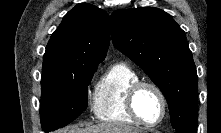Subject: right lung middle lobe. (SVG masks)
Returning a JSON list of instances; mask_svg holds the SVG:
<instances>
[{"label": "right lung middle lobe", "instance_id": "obj_1", "mask_svg": "<svg viewBox=\"0 0 221 133\" xmlns=\"http://www.w3.org/2000/svg\"><path fill=\"white\" fill-rule=\"evenodd\" d=\"M99 63L42 73L40 117L45 133L64 127L87 108L88 85Z\"/></svg>", "mask_w": 221, "mask_h": 133}]
</instances>
